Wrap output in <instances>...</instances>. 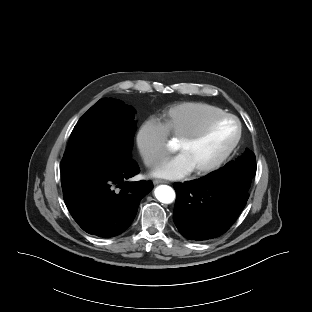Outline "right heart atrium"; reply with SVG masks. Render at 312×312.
Listing matches in <instances>:
<instances>
[{"label":"right heart atrium","instance_id":"d8ad5b80","mask_svg":"<svg viewBox=\"0 0 312 312\" xmlns=\"http://www.w3.org/2000/svg\"><path fill=\"white\" fill-rule=\"evenodd\" d=\"M167 135L159 119L149 117L142 122L136 141L139 152L148 167H155L167 156Z\"/></svg>","mask_w":312,"mask_h":312}]
</instances>
